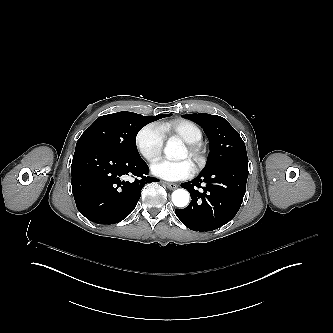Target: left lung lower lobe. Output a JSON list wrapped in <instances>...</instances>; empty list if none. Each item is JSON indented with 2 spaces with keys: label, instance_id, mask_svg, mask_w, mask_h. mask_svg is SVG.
<instances>
[{
  "label": "left lung lower lobe",
  "instance_id": "1",
  "mask_svg": "<svg viewBox=\"0 0 333 333\" xmlns=\"http://www.w3.org/2000/svg\"><path fill=\"white\" fill-rule=\"evenodd\" d=\"M248 173V161H231L182 183L192 201L186 208L175 210L177 217L193 231H212L228 223L240 209Z\"/></svg>",
  "mask_w": 333,
  "mask_h": 333
}]
</instances>
